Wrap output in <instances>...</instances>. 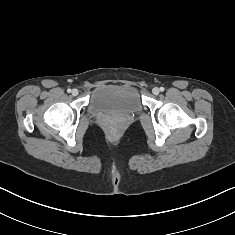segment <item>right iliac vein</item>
Wrapping results in <instances>:
<instances>
[{
	"label": "right iliac vein",
	"instance_id": "right-iliac-vein-1",
	"mask_svg": "<svg viewBox=\"0 0 235 235\" xmlns=\"http://www.w3.org/2000/svg\"><path fill=\"white\" fill-rule=\"evenodd\" d=\"M79 94V91L77 89L72 90V95L77 96Z\"/></svg>",
	"mask_w": 235,
	"mask_h": 235
}]
</instances>
